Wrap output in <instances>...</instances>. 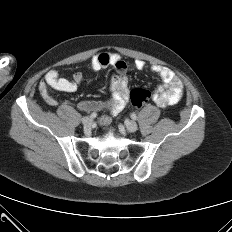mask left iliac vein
<instances>
[{
    "label": "left iliac vein",
    "instance_id": "obj_1",
    "mask_svg": "<svg viewBox=\"0 0 232 232\" xmlns=\"http://www.w3.org/2000/svg\"><path fill=\"white\" fill-rule=\"evenodd\" d=\"M126 126L129 132H135L138 128L136 122L134 121H128Z\"/></svg>",
    "mask_w": 232,
    "mask_h": 232
}]
</instances>
